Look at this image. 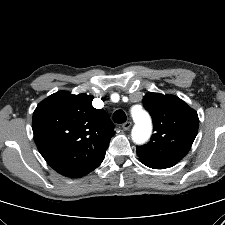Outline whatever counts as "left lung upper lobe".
I'll use <instances>...</instances> for the list:
<instances>
[{
    "instance_id": "left-lung-upper-lobe-1",
    "label": "left lung upper lobe",
    "mask_w": 225,
    "mask_h": 225,
    "mask_svg": "<svg viewBox=\"0 0 225 225\" xmlns=\"http://www.w3.org/2000/svg\"><path fill=\"white\" fill-rule=\"evenodd\" d=\"M143 105L152 116L154 134L144 146H137L142 162L155 169L177 164L190 150L198 132V115L174 95L148 93Z\"/></svg>"
}]
</instances>
